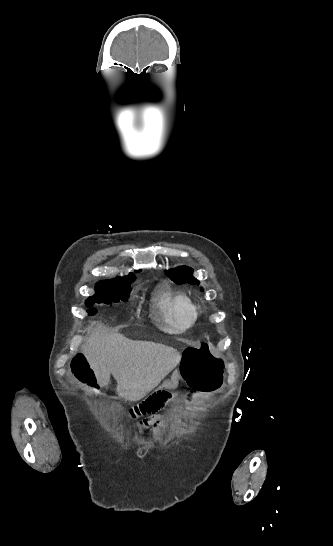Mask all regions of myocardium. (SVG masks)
Segmentation results:
<instances>
[{"instance_id":"1","label":"myocardium","mask_w":333,"mask_h":546,"mask_svg":"<svg viewBox=\"0 0 333 546\" xmlns=\"http://www.w3.org/2000/svg\"><path fill=\"white\" fill-rule=\"evenodd\" d=\"M202 312L201 306H195V313L196 315L200 314Z\"/></svg>"}]
</instances>
